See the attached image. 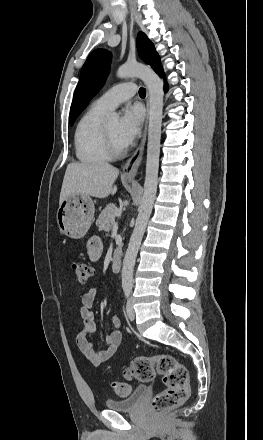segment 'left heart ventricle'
<instances>
[{"label":"left heart ventricle","mask_w":263,"mask_h":440,"mask_svg":"<svg viewBox=\"0 0 263 440\" xmlns=\"http://www.w3.org/2000/svg\"><path fill=\"white\" fill-rule=\"evenodd\" d=\"M107 125H108L110 136L112 138V141H113V144L115 145V147L118 149L125 148V146L123 145V143L121 142V140L119 139V136H118L119 120H117V119L108 120Z\"/></svg>","instance_id":"1"}]
</instances>
